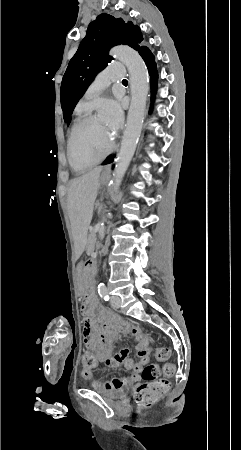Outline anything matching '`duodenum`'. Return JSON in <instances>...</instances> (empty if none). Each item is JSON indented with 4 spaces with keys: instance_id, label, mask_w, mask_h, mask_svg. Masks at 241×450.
I'll use <instances>...</instances> for the list:
<instances>
[{
    "instance_id": "1",
    "label": "duodenum",
    "mask_w": 241,
    "mask_h": 450,
    "mask_svg": "<svg viewBox=\"0 0 241 450\" xmlns=\"http://www.w3.org/2000/svg\"><path fill=\"white\" fill-rule=\"evenodd\" d=\"M87 270V289L89 292H93L95 288V277H96V264L93 259L86 262Z\"/></svg>"
}]
</instances>
